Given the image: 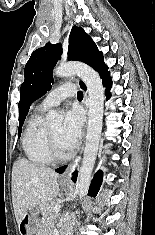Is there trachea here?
I'll use <instances>...</instances> for the list:
<instances>
[{
  "label": "trachea",
  "mask_w": 155,
  "mask_h": 235,
  "mask_svg": "<svg viewBox=\"0 0 155 235\" xmlns=\"http://www.w3.org/2000/svg\"><path fill=\"white\" fill-rule=\"evenodd\" d=\"M77 97H78L79 99H83V93H82L81 91H78Z\"/></svg>",
  "instance_id": "trachea-1"
}]
</instances>
